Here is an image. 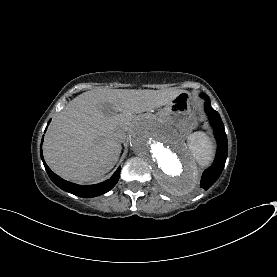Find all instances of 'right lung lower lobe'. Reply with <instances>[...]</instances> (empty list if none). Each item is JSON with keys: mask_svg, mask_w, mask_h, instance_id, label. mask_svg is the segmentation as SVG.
I'll list each match as a JSON object with an SVG mask.
<instances>
[{"mask_svg": "<svg viewBox=\"0 0 277 277\" xmlns=\"http://www.w3.org/2000/svg\"><path fill=\"white\" fill-rule=\"evenodd\" d=\"M45 131H46V129H45ZM42 141H43V138H42ZM40 154H41L43 164L45 166V169H46L50 179L62 190L69 192L71 194H74L76 196H79V197L92 198V197L102 195V194L108 192L109 190H111L119 180L121 167H119L116 170V172L112 175V177L109 180H106L102 183H99L96 185L73 184L71 182L65 181L64 179L60 178L55 173H53L43 159L42 150H40Z\"/></svg>", "mask_w": 277, "mask_h": 277, "instance_id": "98d812e1", "label": "right lung lower lobe"}]
</instances>
